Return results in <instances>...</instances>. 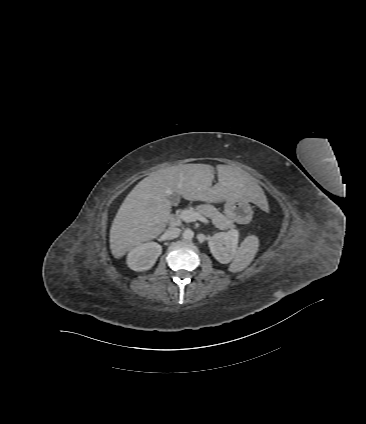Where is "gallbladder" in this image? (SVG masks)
Returning <instances> with one entry per match:
<instances>
[{"label":"gallbladder","mask_w":366,"mask_h":424,"mask_svg":"<svg viewBox=\"0 0 366 424\" xmlns=\"http://www.w3.org/2000/svg\"><path fill=\"white\" fill-rule=\"evenodd\" d=\"M169 200H170V202L172 203V204H176V203H178L179 202V196H178V194L177 193H173L170 197H169Z\"/></svg>","instance_id":"gallbladder-1"}]
</instances>
